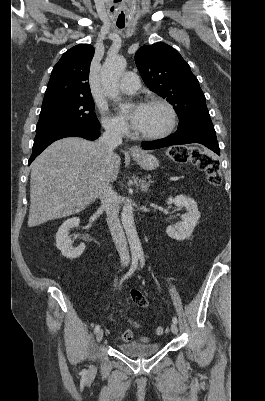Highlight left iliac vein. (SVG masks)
Here are the masks:
<instances>
[{"label": "left iliac vein", "mask_w": 265, "mask_h": 401, "mask_svg": "<svg viewBox=\"0 0 265 401\" xmlns=\"http://www.w3.org/2000/svg\"><path fill=\"white\" fill-rule=\"evenodd\" d=\"M171 331H172V333H173L174 335H177V334H178V327H177L176 323H172V324H171Z\"/></svg>", "instance_id": "obj_1"}]
</instances>
